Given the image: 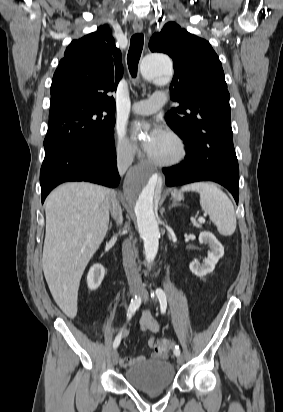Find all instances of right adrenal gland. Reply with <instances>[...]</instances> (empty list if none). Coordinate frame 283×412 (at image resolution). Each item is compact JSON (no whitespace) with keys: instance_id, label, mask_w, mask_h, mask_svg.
Listing matches in <instances>:
<instances>
[{"instance_id":"1","label":"right adrenal gland","mask_w":283,"mask_h":412,"mask_svg":"<svg viewBox=\"0 0 283 412\" xmlns=\"http://www.w3.org/2000/svg\"><path fill=\"white\" fill-rule=\"evenodd\" d=\"M112 227V223H110L109 229Z\"/></svg>"}]
</instances>
